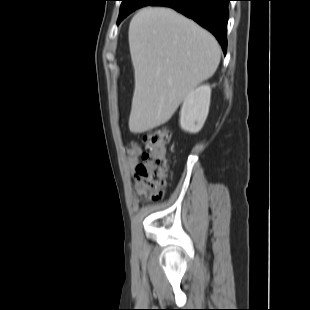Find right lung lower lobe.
<instances>
[{
	"instance_id": "right-lung-lower-lobe-1",
	"label": "right lung lower lobe",
	"mask_w": 310,
	"mask_h": 310,
	"mask_svg": "<svg viewBox=\"0 0 310 310\" xmlns=\"http://www.w3.org/2000/svg\"><path fill=\"white\" fill-rule=\"evenodd\" d=\"M229 1L231 0H155L149 5L170 7L193 19L217 38L226 54Z\"/></svg>"
}]
</instances>
